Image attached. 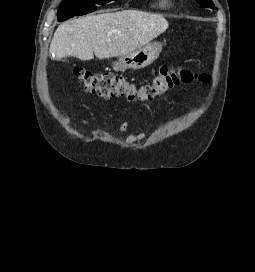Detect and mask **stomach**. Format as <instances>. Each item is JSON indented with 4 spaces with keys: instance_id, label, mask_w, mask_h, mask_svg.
Returning <instances> with one entry per match:
<instances>
[{
    "instance_id": "obj_1",
    "label": "stomach",
    "mask_w": 255,
    "mask_h": 272,
    "mask_svg": "<svg viewBox=\"0 0 255 272\" xmlns=\"http://www.w3.org/2000/svg\"><path fill=\"white\" fill-rule=\"evenodd\" d=\"M162 44L159 42L146 44L113 63L115 71L124 72L127 69H141L149 66L161 53Z\"/></svg>"
}]
</instances>
